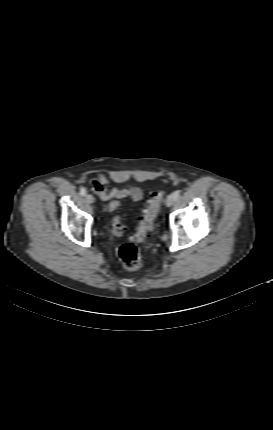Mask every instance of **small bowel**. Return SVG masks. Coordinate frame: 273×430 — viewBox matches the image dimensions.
I'll return each mask as SVG.
<instances>
[{
    "label": "small bowel",
    "instance_id": "c3829d8e",
    "mask_svg": "<svg viewBox=\"0 0 273 430\" xmlns=\"http://www.w3.org/2000/svg\"><path fill=\"white\" fill-rule=\"evenodd\" d=\"M92 189L103 201L114 199L130 198L133 201H139L143 197V191L139 187L129 188H110L108 179L105 175L101 174L97 178L92 180Z\"/></svg>",
    "mask_w": 273,
    "mask_h": 430
}]
</instances>
